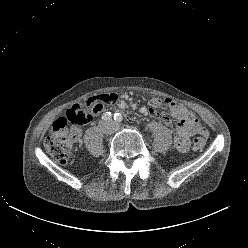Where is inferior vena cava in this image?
I'll list each match as a JSON object with an SVG mask.
<instances>
[{
  "instance_id": "1",
  "label": "inferior vena cava",
  "mask_w": 248,
  "mask_h": 248,
  "mask_svg": "<svg viewBox=\"0 0 248 248\" xmlns=\"http://www.w3.org/2000/svg\"><path fill=\"white\" fill-rule=\"evenodd\" d=\"M118 129V127L116 126L115 128H113V130H117Z\"/></svg>"
}]
</instances>
